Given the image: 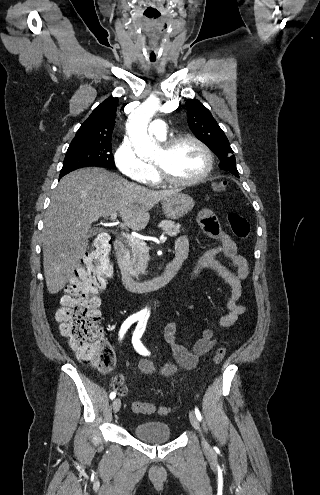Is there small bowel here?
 <instances>
[{
  "label": "small bowel",
  "instance_id": "1",
  "mask_svg": "<svg viewBox=\"0 0 320 495\" xmlns=\"http://www.w3.org/2000/svg\"><path fill=\"white\" fill-rule=\"evenodd\" d=\"M198 219L206 239L213 240L217 244L203 253L200 260L193 267L190 278L195 280L202 270L210 269L217 272L229 285L228 313L221 316L217 322L219 327L227 328L234 325L239 316L245 312L244 305L239 304L238 300L242 295V281L247 278L249 273L248 263L246 258L238 253L236 242L223 229L218 218L210 210L201 211ZM176 249L179 251L186 249L188 251L189 240L186 235H182L177 239ZM219 255L229 260L228 266L217 259ZM177 332V322L171 321L164 326L162 335L165 342L171 347L178 366L186 370L194 369L198 365L200 357L208 354L215 346L216 341L213 338V330L206 328L200 337L193 340L190 347L176 342ZM139 367L145 375L161 374L171 376L178 371V367L173 364L166 363L162 366H156L147 358L140 360Z\"/></svg>",
  "mask_w": 320,
  "mask_h": 495
}]
</instances>
